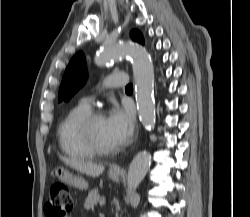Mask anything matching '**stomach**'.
Instances as JSON below:
<instances>
[{
  "instance_id": "stomach-1",
  "label": "stomach",
  "mask_w": 250,
  "mask_h": 217,
  "mask_svg": "<svg viewBox=\"0 0 250 217\" xmlns=\"http://www.w3.org/2000/svg\"><path fill=\"white\" fill-rule=\"evenodd\" d=\"M55 176L63 183L80 190H86L88 188V184L83 178L73 175L64 167H58L55 170ZM108 176L111 180L116 181L120 175L119 173H109Z\"/></svg>"
}]
</instances>
